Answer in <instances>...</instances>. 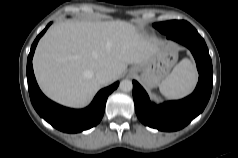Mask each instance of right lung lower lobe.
Masks as SVG:
<instances>
[{
  "mask_svg": "<svg viewBox=\"0 0 238 158\" xmlns=\"http://www.w3.org/2000/svg\"><path fill=\"white\" fill-rule=\"evenodd\" d=\"M47 27L37 36L31 46L27 59V79L30 99L37 113L56 129L77 133L97 125L104 114L107 98L119 85V82L100 90L92 103L85 109L75 110L60 106L43 95L40 91L32 67V58L40 37L45 33Z\"/></svg>",
  "mask_w": 238,
  "mask_h": 158,
  "instance_id": "obj_1",
  "label": "right lung lower lobe"
}]
</instances>
